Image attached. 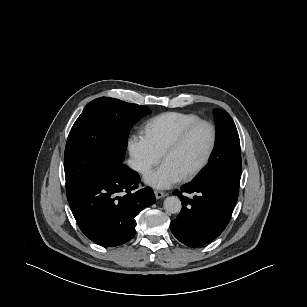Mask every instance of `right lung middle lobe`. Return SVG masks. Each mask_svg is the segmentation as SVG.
Wrapping results in <instances>:
<instances>
[{"instance_id":"right-lung-middle-lobe-1","label":"right lung middle lobe","mask_w":307,"mask_h":307,"mask_svg":"<svg viewBox=\"0 0 307 307\" xmlns=\"http://www.w3.org/2000/svg\"><path fill=\"white\" fill-rule=\"evenodd\" d=\"M145 106L109 97L91 101L71 128L65 148L66 191L71 193L124 160L129 131Z\"/></svg>"}]
</instances>
